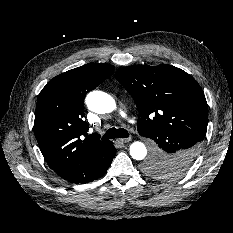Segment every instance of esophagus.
<instances>
[{"instance_id":"obj_1","label":"esophagus","mask_w":233,"mask_h":233,"mask_svg":"<svg viewBox=\"0 0 233 233\" xmlns=\"http://www.w3.org/2000/svg\"><path fill=\"white\" fill-rule=\"evenodd\" d=\"M129 141H131V137H128V138H119V139L116 140V142L119 143V144H124V143H127Z\"/></svg>"}]
</instances>
